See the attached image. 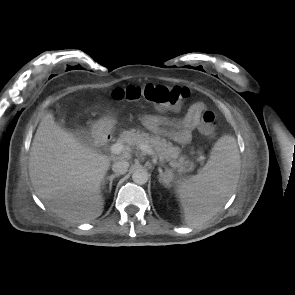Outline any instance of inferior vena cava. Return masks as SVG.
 Here are the masks:
<instances>
[{"mask_svg": "<svg viewBox=\"0 0 295 295\" xmlns=\"http://www.w3.org/2000/svg\"><path fill=\"white\" fill-rule=\"evenodd\" d=\"M129 167V163L126 160H118L114 162L112 165V170L116 174H125L127 172V169Z\"/></svg>", "mask_w": 295, "mask_h": 295, "instance_id": "602c4592", "label": "inferior vena cava"}]
</instances>
